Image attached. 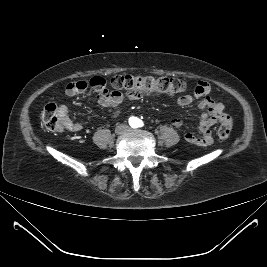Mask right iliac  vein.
<instances>
[{"label": "right iliac vein", "mask_w": 267, "mask_h": 267, "mask_svg": "<svg viewBox=\"0 0 267 267\" xmlns=\"http://www.w3.org/2000/svg\"><path fill=\"white\" fill-rule=\"evenodd\" d=\"M125 131V127H119L118 129H117V133L118 134H121V133H123Z\"/></svg>", "instance_id": "63e3f726"}]
</instances>
